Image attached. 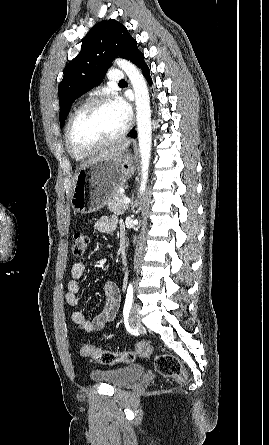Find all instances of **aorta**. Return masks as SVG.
<instances>
[{
  "label": "aorta",
  "mask_w": 269,
  "mask_h": 445,
  "mask_svg": "<svg viewBox=\"0 0 269 445\" xmlns=\"http://www.w3.org/2000/svg\"><path fill=\"white\" fill-rule=\"evenodd\" d=\"M115 63L128 76L135 94L137 132L142 164V181L140 186V193L143 194L148 179V169L152 144L149 92L143 75L134 64L125 59H117Z\"/></svg>",
  "instance_id": "762f6f07"
}]
</instances>
